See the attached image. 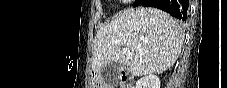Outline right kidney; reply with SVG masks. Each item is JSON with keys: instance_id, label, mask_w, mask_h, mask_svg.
I'll return each mask as SVG.
<instances>
[{"instance_id": "1", "label": "right kidney", "mask_w": 227, "mask_h": 88, "mask_svg": "<svg viewBox=\"0 0 227 88\" xmlns=\"http://www.w3.org/2000/svg\"><path fill=\"white\" fill-rule=\"evenodd\" d=\"M136 88H160V80L156 75H146L136 82Z\"/></svg>"}]
</instances>
